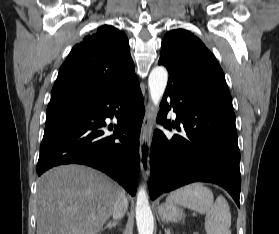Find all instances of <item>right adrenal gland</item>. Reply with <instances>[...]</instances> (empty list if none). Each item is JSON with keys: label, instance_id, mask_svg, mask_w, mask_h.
I'll use <instances>...</instances> for the list:
<instances>
[{"label": "right adrenal gland", "instance_id": "1", "mask_svg": "<svg viewBox=\"0 0 279 234\" xmlns=\"http://www.w3.org/2000/svg\"><path fill=\"white\" fill-rule=\"evenodd\" d=\"M117 225V220H114L112 222H109L102 230L108 228V229H112V228H115Z\"/></svg>", "mask_w": 279, "mask_h": 234}]
</instances>
